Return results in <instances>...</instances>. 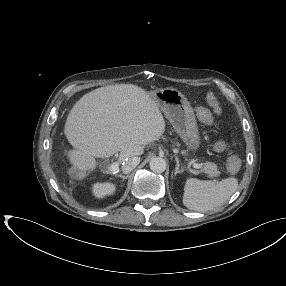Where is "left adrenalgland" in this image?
<instances>
[{
    "label": "left adrenal gland",
    "instance_id": "left-adrenal-gland-1",
    "mask_svg": "<svg viewBox=\"0 0 286 286\" xmlns=\"http://www.w3.org/2000/svg\"><path fill=\"white\" fill-rule=\"evenodd\" d=\"M175 161H176V167H175V175H176L178 173L183 172L184 168L181 167V169H180L179 159L177 157H175Z\"/></svg>",
    "mask_w": 286,
    "mask_h": 286
}]
</instances>
